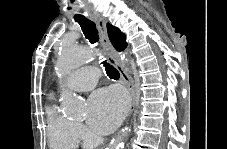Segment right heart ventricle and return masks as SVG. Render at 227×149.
Wrapping results in <instances>:
<instances>
[{
  "label": "right heart ventricle",
  "instance_id": "1",
  "mask_svg": "<svg viewBox=\"0 0 227 149\" xmlns=\"http://www.w3.org/2000/svg\"><path fill=\"white\" fill-rule=\"evenodd\" d=\"M49 145L55 149H73L78 136L75 123L63 115L57 105L50 101L46 106Z\"/></svg>",
  "mask_w": 227,
  "mask_h": 149
}]
</instances>
